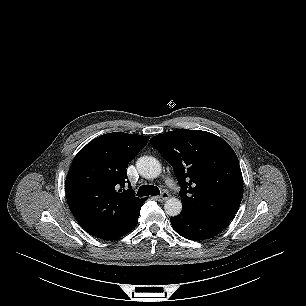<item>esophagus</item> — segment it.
Segmentation results:
<instances>
[{
    "mask_svg": "<svg viewBox=\"0 0 306 306\" xmlns=\"http://www.w3.org/2000/svg\"><path fill=\"white\" fill-rule=\"evenodd\" d=\"M169 198V194L167 192H162L160 196H157L155 199L159 202H163Z\"/></svg>",
    "mask_w": 306,
    "mask_h": 306,
    "instance_id": "obj_1",
    "label": "esophagus"
}]
</instances>
